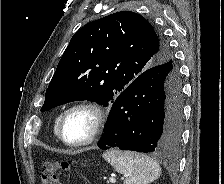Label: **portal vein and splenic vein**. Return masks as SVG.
Masks as SVG:
<instances>
[{"instance_id": "obj_1", "label": "portal vein and splenic vein", "mask_w": 224, "mask_h": 184, "mask_svg": "<svg viewBox=\"0 0 224 184\" xmlns=\"http://www.w3.org/2000/svg\"><path fill=\"white\" fill-rule=\"evenodd\" d=\"M109 181H110V183L114 184V183L116 182V179H115L114 177H111V178L109 179Z\"/></svg>"}]
</instances>
